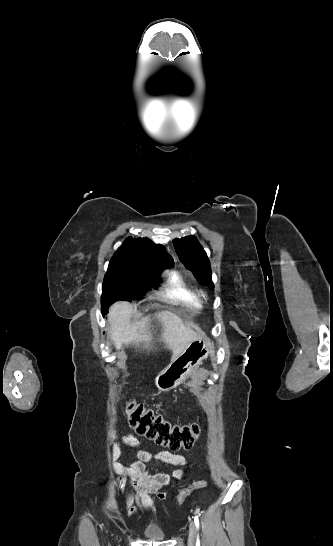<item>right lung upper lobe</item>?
<instances>
[{"label":"right lung upper lobe","mask_w":333,"mask_h":546,"mask_svg":"<svg viewBox=\"0 0 333 546\" xmlns=\"http://www.w3.org/2000/svg\"><path fill=\"white\" fill-rule=\"evenodd\" d=\"M111 262L122 264L127 271L153 275L163 269L161 264L172 266L173 258L162 245H156L146 237H128L115 252Z\"/></svg>","instance_id":"right-lung-upper-lobe-1"}]
</instances>
